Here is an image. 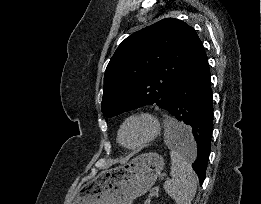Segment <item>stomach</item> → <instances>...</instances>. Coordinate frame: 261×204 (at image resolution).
Here are the masks:
<instances>
[{
    "label": "stomach",
    "mask_w": 261,
    "mask_h": 204,
    "mask_svg": "<svg viewBox=\"0 0 261 204\" xmlns=\"http://www.w3.org/2000/svg\"><path fill=\"white\" fill-rule=\"evenodd\" d=\"M164 167L157 153H145L85 181L73 204H132L154 185Z\"/></svg>",
    "instance_id": "0dacf381"
}]
</instances>
